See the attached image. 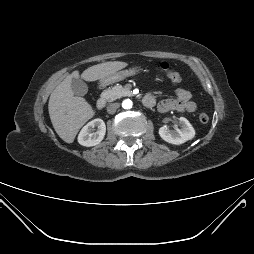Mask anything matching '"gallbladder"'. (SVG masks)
I'll return each instance as SVG.
<instances>
[{
    "label": "gallbladder",
    "instance_id": "obj_1",
    "mask_svg": "<svg viewBox=\"0 0 254 254\" xmlns=\"http://www.w3.org/2000/svg\"><path fill=\"white\" fill-rule=\"evenodd\" d=\"M71 88L74 94L78 96H84L88 92L87 84L80 79H73L71 82Z\"/></svg>",
    "mask_w": 254,
    "mask_h": 254
}]
</instances>
